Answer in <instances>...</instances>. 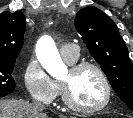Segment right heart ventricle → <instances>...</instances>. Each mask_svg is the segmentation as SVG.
Wrapping results in <instances>:
<instances>
[{
    "mask_svg": "<svg viewBox=\"0 0 133 118\" xmlns=\"http://www.w3.org/2000/svg\"><path fill=\"white\" fill-rule=\"evenodd\" d=\"M64 59H65V61H66L67 63H69V64H74V63H76V61H77L78 57H77V58H75V59H67V58H64ZM57 85H58L59 92H60L61 87H60V84H59L58 82H57Z\"/></svg>",
    "mask_w": 133,
    "mask_h": 118,
    "instance_id": "obj_1",
    "label": "right heart ventricle"
}]
</instances>
